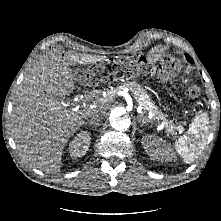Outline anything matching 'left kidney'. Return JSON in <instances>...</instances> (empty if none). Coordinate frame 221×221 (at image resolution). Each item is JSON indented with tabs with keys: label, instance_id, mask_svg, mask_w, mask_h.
Masks as SVG:
<instances>
[{
	"label": "left kidney",
	"instance_id": "obj_1",
	"mask_svg": "<svg viewBox=\"0 0 221 221\" xmlns=\"http://www.w3.org/2000/svg\"><path fill=\"white\" fill-rule=\"evenodd\" d=\"M142 144L147 154L154 160L170 161L173 158L171 148L161 138L145 136L142 138Z\"/></svg>",
	"mask_w": 221,
	"mask_h": 221
}]
</instances>
